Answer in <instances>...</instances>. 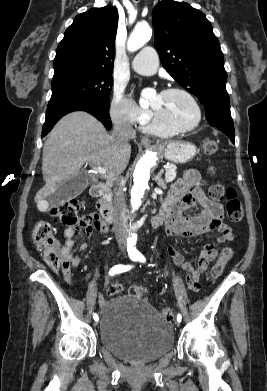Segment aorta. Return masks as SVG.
I'll return each instance as SVG.
<instances>
[{
	"mask_svg": "<svg viewBox=\"0 0 267 391\" xmlns=\"http://www.w3.org/2000/svg\"><path fill=\"white\" fill-rule=\"evenodd\" d=\"M152 36L151 27L147 23L137 24L129 36L127 49L130 52L137 51L150 40ZM146 91H143L140 98V103H144ZM157 160V155L154 151L148 150L137 162L133 173V186L131 189V206L133 210H137L141 204L144 195L146 194L150 179V172ZM137 236L131 233L129 237L130 250L135 251V243Z\"/></svg>",
	"mask_w": 267,
	"mask_h": 391,
	"instance_id": "762f6f07",
	"label": "aorta"
}]
</instances>
